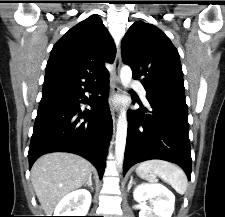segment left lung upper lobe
<instances>
[{
	"label": "left lung upper lobe",
	"mask_w": 225,
	"mask_h": 217,
	"mask_svg": "<svg viewBox=\"0 0 225 217\" xmlns=\"http://www.w3.org/2000/svg\"><path fill=\"white\" fill-rule=\"evenodd\" d=\"M121 51L133 78L141 80L147 95L185 98L179 53L155 25L135 22L122 39Z\"/></svg>",
	"instance_id": "1"
}]
</instances>
